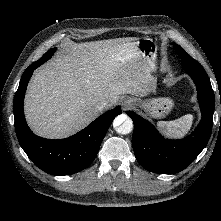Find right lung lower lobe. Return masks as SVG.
<instances>
[{
    "instance_id": "obj_1",
    "label": "right lung lower lobe",
    "mask_w": 221,
    "mask_h": 221,
    "mask_svg": "<svg viewBox=\"0 0 221 221\" xmlns=\"http://www.w3.org/2000/svg\"><path fill=\"white\" fill-rule=\"evenodd\" d=\"M40 60L25 70L14 97L13 111L17 138L25 153L40 169L51 175H71L93 162L111 122L122 111L120 106H117L102 114L85 129L65 139L49 140L36 136L26 123L23 101L33 71L44 63Z\"/></svg>"
}]
</instances>
